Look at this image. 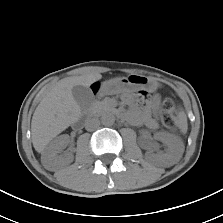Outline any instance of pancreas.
<instances>
[{
	"label": "pancreas",
	"instance_id": "pancreas-1",
	"mask_svg": "<svg viewBox=\"0 0 223 223\" xmlns=\"http://www.w3.org/2000/svg\"><path fill=\"white\" fill-rule=\"evenodd\" d=\"M112 106L110 104V99L105 98L102 101H95L90 105V110L94 114H102L104 112L110 111Z\"/></svg>",
	"mask_w": 223,
	"mask_h": 223
}]
</instances>
